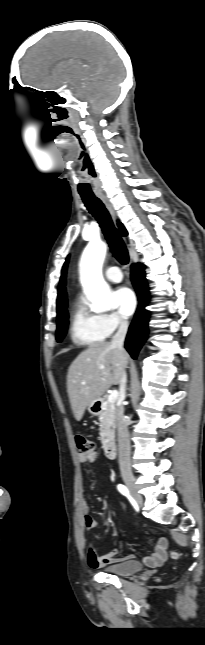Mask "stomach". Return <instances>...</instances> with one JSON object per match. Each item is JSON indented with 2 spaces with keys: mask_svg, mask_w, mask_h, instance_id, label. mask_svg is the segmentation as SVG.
Returning <instances> with one entry per match:
<instances>
[{
  "mask_svg": "<svg viewBox=\"0 0 205 645\" xmlns=\"http://www.w3.org/2000/svg\"><path fill=\"white\" fill-rule=\"evenodd\" d=\"M100 402L99 400L94 401L91 405L88 406V411L92 415H98L100 413Z\"/></svg>",
  "mask_w": 205,
  "mask_h": 645,
  "instance_id": "1",
  "label": "stomach"
}]
</instances>
